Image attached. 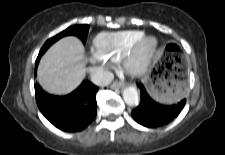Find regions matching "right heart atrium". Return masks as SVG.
<instances>
[{"instance_id":"1","label":"right heart atrium","mask_w":225,"mask_h":155,"mask_svg":"<svg viewBox=\"0 0 225 155\" xmlns=\"http://www.w3.org/2000/svg\"><path fill=\"white\" fill-rule=\"evenodd\" d=\"M88 62L91 65V70L93 72H104L110 66L111 62L101 55H99L96 51H92L88 56Z\"/></svg>"}]
</instances>
